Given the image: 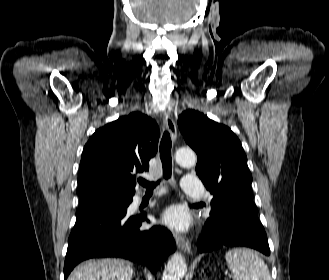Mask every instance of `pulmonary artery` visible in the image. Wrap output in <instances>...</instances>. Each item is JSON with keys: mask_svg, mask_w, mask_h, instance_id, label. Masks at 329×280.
Here are the masks:
<instances>
[{"mask_svg": "<svg viewBox=\"0 0 329 280\" xmlns=\"http://www.w3.org/2000/svg\"><path fill=\"white\" fill-rule=\"evenodd\" d=\"M182 190L190 198L198 199L202 196L203 187L200 179L192 174L184 176Z\"/></svg>", "mask_w": 329, "mask_h": 280, "instance_id": "1", "label": "pulmonary artery"}]
</instances>
